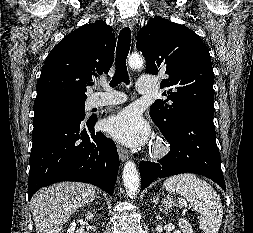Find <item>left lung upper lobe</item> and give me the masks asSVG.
Masks as SVG:
<instances>
[{
	"label": "left lung upper lobe",
	"instance_id": "left-lung-upper-lobe-1",
	"mask_svg": "<svg viewBox=\"0 0 253 233\" xmlns=\"http://www.w3.org/2000/svg\"><path fill=\"white\" fill-rule=\"evenodd\" d=\"M136 47L146 59V72L168 75L161 82V88H168L162 94L167 99L150 107V116L163 134H172L181 117L214 115L210 54L194 31L155 16L138 32Z\"/></svg>",
	"mask_w": 253,
	"mask_h": 233
}]
</instances>
